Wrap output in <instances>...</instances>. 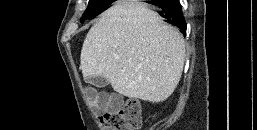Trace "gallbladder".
<instances>
[{"instance_id":"gallbladder-1","label":"gallbladder","mask_w":257,"mask_h":130,"mask_svg":"<svg viewBox=\"0 0 257 130\" xmlns=\"http://www.w3.org/2000/svg\"><path fill=\"white\" fill-rule=\"evenodd\" d=\"M87 82L98 87L103 88L108 85V80L102 76H92L87 78Z\"/></svg>"}]
</instances>
